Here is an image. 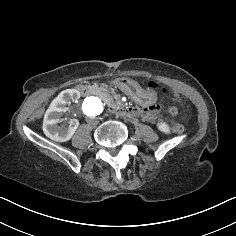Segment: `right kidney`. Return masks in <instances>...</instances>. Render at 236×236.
<instances>
[{
    "mask_svg": "<svg viewBox=\"0 0 236 236\" xmlns=\"http://www.w3.org/2000/svg\"><path fill=\"white\" fill-rule=\"evenodd\" d=\"M79 98V91L67 89L62 92V95H57L45 109L43 131L48 138L58 142L71 139L79 126V121L66 118L65 110L75 104Z\"/></svg>",
    "mask_w": 236,
    "mask_h": 236,
    "instance_id": "right-kidney-1",
    "label": "right kidney"
}]
</instances>
